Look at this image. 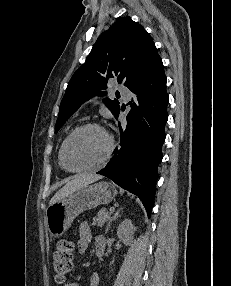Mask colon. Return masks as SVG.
I'll use <instances>...</instances> for the list:
<instances>
[{
  "label": "colon",
  "mask_w": 231,
  "mask_h": 286,
  "mask_svg": "<svg viewBox=\"0 0 231 286\" xmlns=\"http://www.w3.org/2000/svg\"><path fill=\"white\" fill-rule=\"evenodd\" d=\"M74 245L69 240H60L53 254L55 279L63 283L73 267Z\"/></svg>",
  "instance_id": "obj_1"
}]
</instances>
